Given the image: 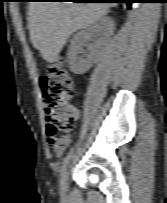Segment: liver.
<instances>
[{
	"instance_id": "liver-1",
	"label": "liver",
	"mask_w": 167,
	"mask_h": 203,
	"mask_svg": "<svg viewBox=\"0 0 167 203\" xmlns=\"http://www.w3.org/2000/svg\"><path fill=\"white\" fill-rule=\"evenodd\" d=\"M109 3L31 2L28 27L33 47L48 63L57 61L70 35L103 18Z\"/></svg>"
}]
</instances>
